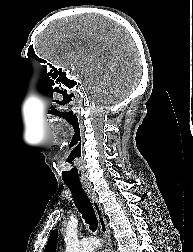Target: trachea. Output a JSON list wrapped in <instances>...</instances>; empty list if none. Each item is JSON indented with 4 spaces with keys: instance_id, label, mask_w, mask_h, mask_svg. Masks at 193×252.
Listing matches in <instances>:
<instances>
[{
    "instance_id": "obj_1",
    "label": "trachea",
    "mask_w": 193,
    "mask_h": 252,
    "mask_svg": "<svg viewBox=\"0 0 193 252\" xmlns=\"http://www.w3.org/2000/svg\"><path fill=\"white\" fill-rule=\"evenodd\" d=\"M69 187L74 203L82 214L86 224L89 225L90 230L95 231L98 227V220L92 206L90 199L88 198L85 190L81 184L66 183Z\"/></svg>"
}]
</instances>
